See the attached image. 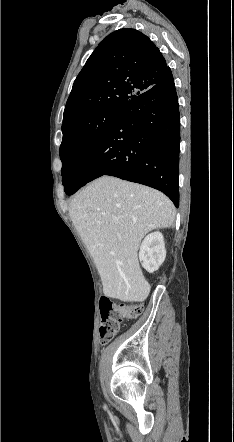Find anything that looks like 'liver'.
<instances>
[{
	"mask_svg": "<svg viewBox=\"0 0 234 442\" xmlns=\"http://www.w3.org/2000/svg\"><path fill=\"white\" fill-rule=\"evenodd\" d=\"M69 216L93 257L103 293L124 302L144 301L151 286L137 252L148 232L172 225L175 207L169 198L155 189L103 176L72 199Z\"/></svg>",
	"mask_w": 234,
	"mask_h": 442,
	"instance_id": "obj_1",
	"label": "liver"
}]
</instances>
